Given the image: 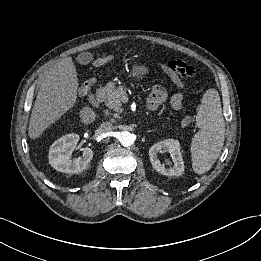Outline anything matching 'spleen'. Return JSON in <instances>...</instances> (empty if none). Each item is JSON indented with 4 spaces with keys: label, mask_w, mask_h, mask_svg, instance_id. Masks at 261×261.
I'll use <instances>...</instances> for the list:
<instances>
[{
    "label": "spleen",
    "mask_w": 261,
    "mask_h": 261,
    "mask_svg": "<svg viewBox=\"0 0 261 261\" xmlns=\"http://www.w3.org/2000/svg\"><path fill=\"white\" fill-rule=\"evenodd\" d=\"M199 132L191 143L192 168L201 175L211 169L218 159L224 144L225 122L219 93L209 89L202 98L196 115Z\"/></svg>",
    "instance_id": "spleen-1"
}]
</instances>
